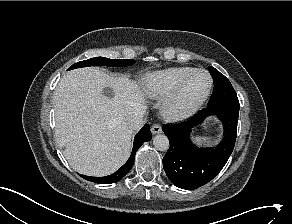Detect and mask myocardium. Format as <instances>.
<instances>
[{
    "label": "myocardium",
    "mask_w": 292,
    "mask_h": 224,
    "mask_svg": "<svg viewBox=\"0 0 292 224\" xmlns=\"http://www.w3.org/2000/svg\"><path fill=\"white\" fill-rule=\"evenodd\" d=\"M198 73H206L209 76L210 83L206 93L195 102L189 105L181 103L183 91L189 80ZM214 85L211 73L206 69H195L186 75L175 87V89L164 99L162 103V112L165 118L171 121H179L194 114L209 98Z\"/></svg>",
    "instance_id": "obj_1"
}]
</instances>
